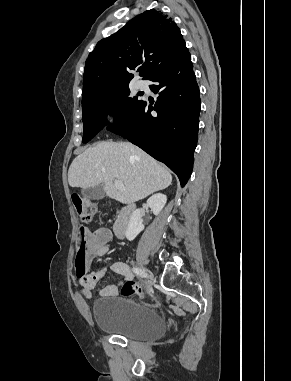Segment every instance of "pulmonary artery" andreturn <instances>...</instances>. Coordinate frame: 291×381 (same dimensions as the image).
I'll return each instance as SVG.
<instances>
[{"instance_id":"1","label":"pulmonary artery","mask_w":291,"mask_h":381,"mask_svg":"<svg viewBox=\"0 0 291 381\" xmlns=\"http://www.w3.org/2000/svg\"><path fill=\"white\" fill-rule=\"evenodd\" d=\"M137 87L141 90L146 88V83L144 81H138L137 82Z\"/></svg>"}]
</instances>
